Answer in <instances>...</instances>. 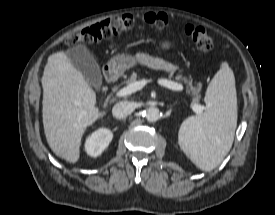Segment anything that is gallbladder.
Masks as SVG:
<instances>
[{"mask_svg": "<svg viewBox=\"0 0 275 215\" xmlns=\"http://www.w3.org/2000/svg\"><path fill=\"white\" fill-rule=\"evenodd\" d=\"M66 56L72 65L85 76L91 87L99 88L102 85L99 65L86 47L79 45L70 48L66 51Z\"/></svg>", "mask_w": 275, "mask_h": 215, "instance_id": "gallbladder-1", "label": "gallbladder"}]
</instances>
